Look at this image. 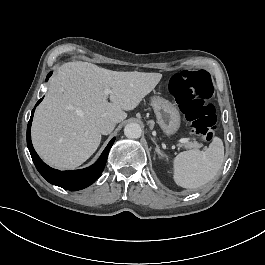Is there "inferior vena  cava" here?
I'll return each mask as SVG.
<instances>
[{
	"instance_id": "602c4592",
	"label": "inferior vena cava",
	"mask_w": 265,
	"mask_h": 265,
	"mask_svg": "<svg viewBox=\"0 0 265 265\" xmlns=\"http://www.w3.org/2000/svg\"><path fill=\"white\" fill-rule=\"evenodd\" d=\"M96 126L102 134H109L115 127V122L108 118H101L96 121Z\"/></svg>"
}]
</instances>
